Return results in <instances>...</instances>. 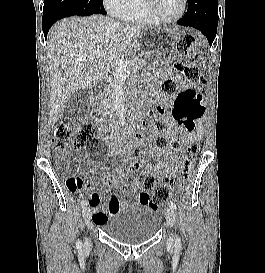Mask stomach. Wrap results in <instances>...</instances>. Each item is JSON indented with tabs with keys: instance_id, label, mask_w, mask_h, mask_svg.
<instances>
[{
	"instance_id": "stomach-1",
	"label": "stomach",
	"mask_w": 265,
	"mask_h": 273,
	"mask_svg": "<svg viewBox=\"0 0 265 273\" xmlns=\"http://www.w3.org/2000/svg\"><path fill=\"white\" fill-rule=\"evenodd\" d=\"M168 29H144L136 36L134 44H128V49L147 50L137 55L139 64H136L135 78H152V73H159L160 69H167V64H172L168 56H175V51L162 49H173L175 40H180L185 30H180V25H169Z\"/></svg>"
}]
</instances>
